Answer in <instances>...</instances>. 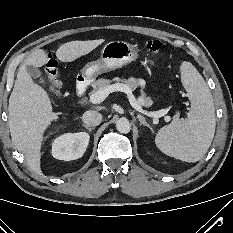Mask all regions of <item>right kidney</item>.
<instances>
[{
  "mask_svg": "<svg viewBox=\"0 0 233 233\" xmlns=\"http://www.w3.org/2000/svg\"><path fill=\"white\" fill-rule=\"evenodd\" d=\"M90 136L86 132L66 133L56 138L52 144V155L59 160H75L85 153Z\"/></svg>",
  "mask_w": 233,
  "mask_h": 233,
  "instance_id": "right-kidney-1",
  "label": "right kidney"
}]
</instances>
